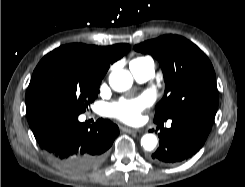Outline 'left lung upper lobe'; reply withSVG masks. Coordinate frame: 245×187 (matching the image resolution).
<instances>
[{
  "instance_id": "left-lung-upper-lobe-1",
  "label": "left lung upper lobe",
  "mask_w": 245,
  "mask_h": 187,
  "mask_svg": "<svg viewBox=\"0 0 245 187\" xmlns=\"http://www.w3.org/2000/svg\"><path fill=\"white\" fill-rule=\"evenodd\" d=\"M160 63L166 84L154 122L207 113L216 114L218 92L214 68L194 43L178 35H164L134 46Z\"/></svg>"
}]
</instances>
